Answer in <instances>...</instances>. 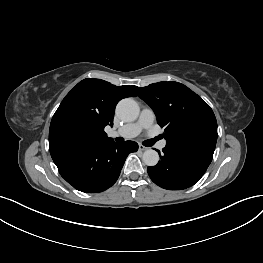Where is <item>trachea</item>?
Segmentation results:
<instances>
[{"instance_id": "trachea-1", "label": "trachea", "mask_w": 263, "mask_h": 263, "mask_svg": "<svg viewBox=\"0 0 263 263\" xmlns=\"http://www.w3.org/2000/svg\"><path fill=\"white\" fill-rule=\"evenodd\" d=\"M157 140H158V138L146 140V141L143 142V145L150 147V146H152Z\"/></svg>"}]
</instances>
